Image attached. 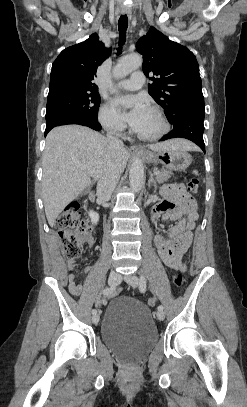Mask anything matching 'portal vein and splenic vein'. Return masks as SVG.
Returning <instances> with one entry per match:
<instances>
[{
    "mask_svg": "<svg viewBox=\"0 0 247 407\" xmlns=\"http://www.w3.org/2000/svg\"><path fill=\"white\" fill-rule=\"evenodd\" d=\"M89 172L92 173L91 170ZM158 174H159V171H154V175H158Z\"/></svg>",
    "mask_w": 247,
    "mask_h": 407,
    "instance_id": "18ae733b",
    "label": "portal vein and splenic vein"
}]
</instances>
